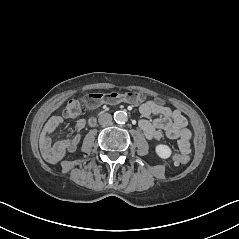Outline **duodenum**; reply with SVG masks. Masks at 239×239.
<instances>
[{
  "label": "duodenum",
  "instance_id": "410a0bca",
  "mask_svg": "<svg viewBox=\"0 0 239 239\" xmlns=\"http://www.w3.org/2000/svg\"><path fill=\"white\" fill-rule=\"evenodd\" d=\"M94 122H95V119H94V118H91L90 121H89V123H90L91 125L94 124Z\"/></svg>",
  "mask_w": 239,
  "mask_h": 239
}]
</instances>
